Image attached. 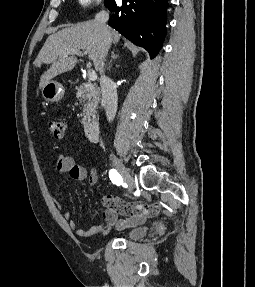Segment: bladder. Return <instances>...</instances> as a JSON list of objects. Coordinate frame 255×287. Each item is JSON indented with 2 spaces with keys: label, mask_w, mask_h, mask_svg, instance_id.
<instances>
[{
  "label": "bladder",
  "mask_w": 255,
  "mask_h": 287,
  "mask_svg": "<svg viewBox=\"0 0 255 287\" xmlns=\"http://www.w3.org/2000/svg\"><path fill=\"white\" fill-rule=\"evenodd\" d=\"M146 234V229L144 227L136 226L125 230L123 236L127 239H139Z\"/></svg>",
  "instance_id": "1"
}]
</instances>
